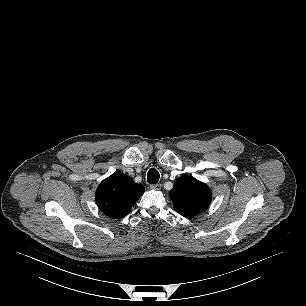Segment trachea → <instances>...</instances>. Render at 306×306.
Wrapping results in <instances>:
<instances>
[{
    "instance_id": "3493384b",
    "label": "trachea",
    "mask_w": 306,
    "mask_h": 306,
    "mask_svg": "<svg viewBox=\"0 0 306 306\" xmlns=\"http://www.w3.org/2000/svg\"><path fill=\"white\" fill-rule=\"evenodd\" d=\"M159 177V172L156 169L151 168L147 174V181L150 184H156L159 181Z\"/></svg>"
}]
</instances>
